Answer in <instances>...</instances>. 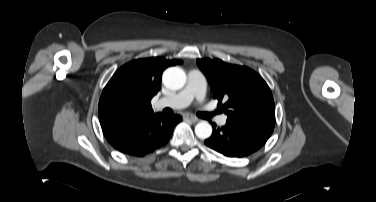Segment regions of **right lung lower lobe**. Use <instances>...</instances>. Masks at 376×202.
I'll list each match as a JSON object with an SVG mask.
<instances>
[{"mask_svg": "<svg viewBox=\"0 0 376 202\" xmlns=\"http://www.w3.org/2000/svg\"><path fill=\"white\" fill-rule=\"evenodd\" d=\"M181 119L180 115L153 114L105 137L120 152L141 157L167 144Z\"/></svg>", "mask_w": 376, "mask_h": 202, "instance_id": "1", "label": "right lung lower lobe"}]
</instances>
